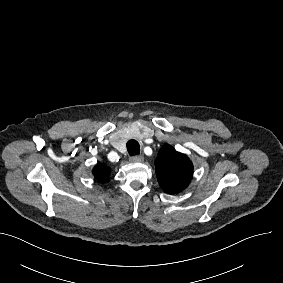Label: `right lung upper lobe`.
Listing matches in <instances>:
<instances>
[{"label":"right lung upper lobe","mask_w":283,"mask_h":283,"mask_svg":"<svg viewBox=\"0 0 283 283\" xmlns=\"http://www.w3.org/2000/svg\"><path fill=\"white\" fill-rule=\"evenodd\" d=\"M92 173L94 175L95 180H97L98 182L104 183L109 182L110 180V169L104 164H97L93 168Z\"/></svg>","instance_id":"right-lung-upper-lobe-1"}]
</instances>
